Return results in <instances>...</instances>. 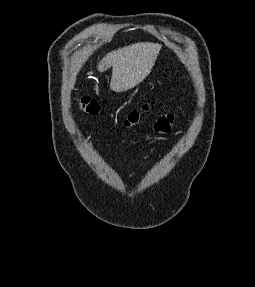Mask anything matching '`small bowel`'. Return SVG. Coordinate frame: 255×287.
Wrapping results in <instances>:
<instances>
[{
  "label": "small bowel",
  "instance_id": "1",
  "mask_svg": "<svg viewBox=\"0 0 255 287\" xmlns=\"http://www.w3.org/2000/svg\"><path fill=\"white\" fill-rule=\"evenodd\" d=\"M172 123H173L172 116H163L157 120L154 129L156 132L160 133L168 132L172 126Z\"/></svg>",
  "mask_w": 255,
  "mask_h": 287
}]
</instances>
